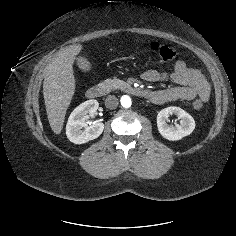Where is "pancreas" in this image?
Returning a JSON list of instances; mask_svg holds the SVG:
<instances>
[{"instance_id": "1", "label": "pancreas", "mask_w": 236, "mask_h": 236, "mask_svg": "<svg viewBox=\"0 0 236 236\" xmlns=\"http://www.w3.org/2000/svg\"><path fill=\"white\" fill-rule=\"evenodd\" d=\"M102 85L106 92H111L116 89H126L128 87V84L126 82L119 79H108L102 82Z\"/></svg>"}]
</instances>
